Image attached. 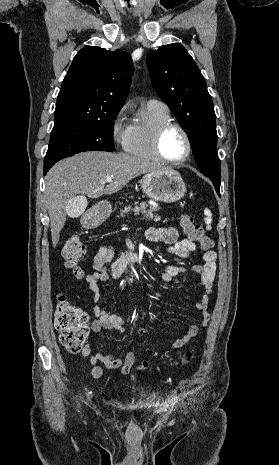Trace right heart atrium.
<instances>
[{
  "label": "right heart atrium",
  "instance_id": "right-heart-atrium-1",
  "mask_svg": "<svg viewBox=\"0 0 279 465\" xmlns=\"http://www.w3.org/2000/svg\"><path fill=\"white\" fill-rule=\"evenodd\" d=\"M126 107H121L115 114L111 124L112 139L123 148L128 142L130 125L126 123Z\"/></svg>",
  "mask_w": 279,
  "mask_h": 465
}]
</instances>
